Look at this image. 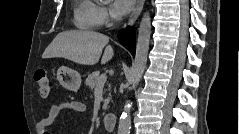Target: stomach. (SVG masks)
Returning a JSON list of instances; mask_svg holds the SVG:
<instances>
[{"label": "stomach", "instance_id": "1", "mask_svg": "<svg viewBox=\"0 0 239 134\" xmlns=\"http://www.w3.org/2000/svg\"><path fill=\"white\" fill-rule=\"evenodd\" d=\"M57 79L61 85L64 87L77 91L81 86V76L80 74L66 66H61L57 70Z\"/></svg>", "mask_w": 239, "mask_h": 134}]
</instances>
